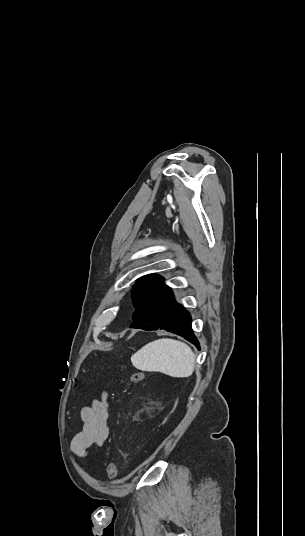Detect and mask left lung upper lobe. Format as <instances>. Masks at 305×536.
I'll list each match as a JSON object with an SVG mask.
<instances>
[{
    "label": "left lung upper lobe",
    "instance_id": "obj_1",
    "mask_svg": "<svg viewBox=\"0 0 305 536\" xmlns=\"http://www.w3.org/2000/svg\"><path fill=\"white\" fill-rule=\"evenodd\" d=\"M166 287L163 283V277L151 274L137 280V284L132 291V299L135 308H138L143 302Z\"/></svg>",
    "mask_w": 305,
    "mask_h": 536
}]
</instances>
